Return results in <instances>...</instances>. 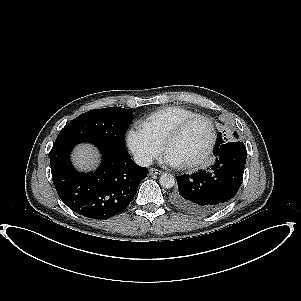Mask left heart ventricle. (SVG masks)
Masks as SVG:
<instances>
[{
  "label": "left heart ventricle",
  "instance_id": "left-heart-ventricle-1",
  "mask_svg": "<svg viewBox=\"0 0 301 301\" xmlns=\"http://www.w3.org/2000/svg\"><path fill=\"white\" fill-rule=\"evenodd\" d=\"M209 140V125L204 121H196L170 142L167 151L188 163L196 160L205 152Z\"/></svg>",
  "mask_w": 301,
  "mask_h": 301
}]
</instances>
